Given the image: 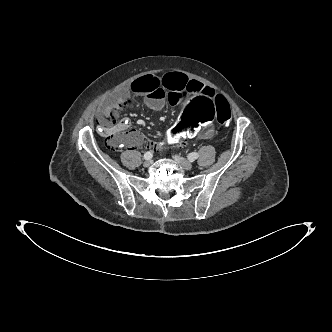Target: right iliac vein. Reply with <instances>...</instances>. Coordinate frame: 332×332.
I'll list each match as a JSON object with an SVG mask.
<instances>
[{
  "mask_svg": "<svg viewBox=\"0 0 332 332\" xmlns=\"http://www.w3.org/2000/svg\"><path fill=\"white\" fill-rule=\"evenodd\" d=\"M152 163H153L152 159H148L144 162L143 165H144V167H150L152 165Z\"/></svg>",
  "mask_w": 332,
  "mask_h": 332,
  "instance_id": "right-iliac-vein-1",
  "label": "right iliac vein"
}]
</instances>
